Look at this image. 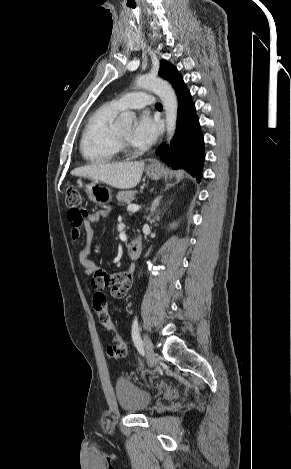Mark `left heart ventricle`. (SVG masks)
Segmentation results:
<instances>
[{
  "instance_id": "b2bd125f",
  "label": "left heart ventricle",
  "mask_w": 291,
  "mask_h": 469,
  "mask_svg": "<svg viewBox=\"0 0 291 469\" xmlns=\"http://www.w3.org/2000/svg\"><path fill=\"white\" fill-rule=\"evenodd\" d=\"M118 132H119L120 135H122L123 137H125L126 139L129 140L130 134H131L130 129H119Z\"/></svg>"
}]
</instances>
